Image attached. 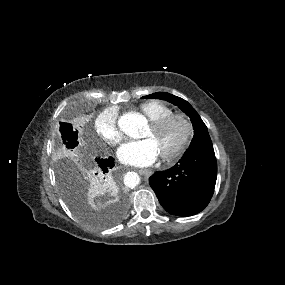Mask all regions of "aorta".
I'll use <instances>...</instances> for the list:
<instances>
[{"label": "aorta", "mask_w": 285, "mask_h": 285, "mask_svg": "<svg viewBox=\"0 0 285 285\" xmlns=\"http://www.w3.org/2000/svg\"><path fill=\"white\" fill-rule=\"evenodd\" d=\"M147 121L143 115L137 112H129L123 115L119 121L121 130L132 138H140ZM125 185L134 188L140 182V177L135 172H128L124 178Z\"/></svg>", "instance_id": "obj_1"}]
</instances>
